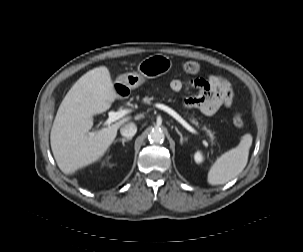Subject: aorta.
<instances>
[{"mask_svg": "<svg viewBox=\"0 0 303 252\" xmlns=\"http://www.w3.org/2000/svg\"><path fill=\"white\" fill-rule=\"evenodd\" d=\"M148 139L152 143H162L165 139V135L161 129H153L148 135Z\"/></svg>", "mask_w": 303, "mask_h": 252, "instance_id": "obj_1", "label": "aorta"}]
</instances>
